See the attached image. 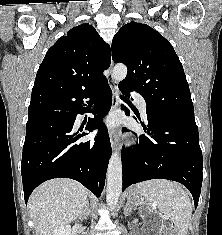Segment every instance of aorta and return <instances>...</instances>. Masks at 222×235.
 I'll list each match as a JSON object with an SVG mask.
<instances>
[{"instance_id":"762f6f07","label":"aorta","mask_w":222,"mask_h":235,"mask_svg":"<svg viewBox=\"0 0 222 235\" xmlns=\"http://www.w3.org/2000/svg\"><path fill=\"white\" fill-rule=\"evenodd\" d=\"M127 67L124 64H116L113 68L112 78L116 82L125 79ZM122 191V161L119 151L113 152L107 169L106 201L109 207L117 205Z\"/></svg>"}]
</instances>
